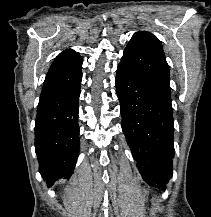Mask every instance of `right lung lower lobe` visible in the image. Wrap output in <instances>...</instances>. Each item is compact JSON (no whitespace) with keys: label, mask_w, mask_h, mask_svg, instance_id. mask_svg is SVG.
<instances>
[{"label":"right lung lower lobe","mask_w":211,"mask_h":217,"mask_svg":"<svg viewBox=\"0 0 211 217\" xmlns=\"http://www.w3.org/2000/svg\"><path fill=\"white\" fill-rule=\"evenodd\" d=\"M81 80L82 72L73 82L40 96L35 151L39 171L49 187L61 178H69L78 158Z\"/></svg>","instance_id":"obj_1"}]
</instances>
